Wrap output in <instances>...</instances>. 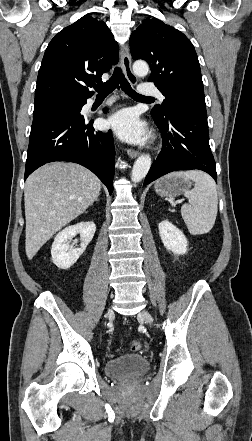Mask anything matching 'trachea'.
<instances>
[{"mask_svg":"<svg viewBox=\"0 0 252 441\" xmlns=\"http://www.w3.org/2000/svg\"><path fill=\"white\" fill-rule=\"evenodd\" d=\"M122 88V90L131 98L134 99H140V100H154L152 97H145L140 94H138L136 91L132 89L129 82L124 77L121 68L116 67L115 71L112 75V77L105 83L94 85L93 88L98 93L97 96H104L106 97L109 95L113 90H115L117 87Z\"/></svg>","mask_w":252,"mask_h":441,"instance_id":"1","label":"trachea"}]
</instances>
